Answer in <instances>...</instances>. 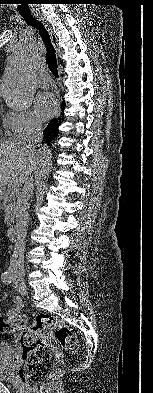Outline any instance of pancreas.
I'll use <instances>...</instances> for the list:
<instances>
[{
  "label": "pancreas",
  "mask_w": 153,
  "mask_h": 393,
  "mask_svg": "<svg viewBox=\"0 0 153 393\" xmlns=\"http://www.w3.org/2000/svg\"><path fill=\"white\" fill-rule=\"evenodd\" d=\"M16 197H17V192H13L12 188H9L4 194V196L2 197L3 208L5 212L4 222L7 224V226H10L11 223H13L14 221Z\"/></svg>",
  "instance_id": "pancreas-1"
}]
</instances>
